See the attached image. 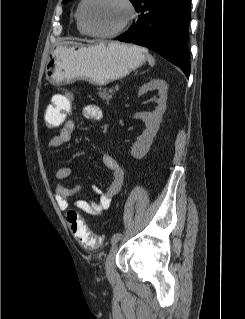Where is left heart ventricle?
Here are the masks:
<instances>
[{
	"instance_id": "b2bd125f",
	"label": "left heart ventricle",
	"mask_w": 245,
	"mask_h": 319,
	"mask_svg": "<svg viewBox=\"0 0 245 319\" xmlns=\"http://www.w3.org/2000/svg\"><path fill=\"white\" fill-rule=\"evenodd\" d=\"M128 16L119 0H92L87 6L86 21L91 30L108 33L119 28Z\"/></svg>"
}]
</instances>
